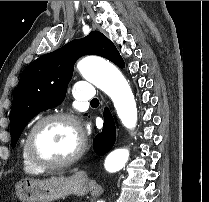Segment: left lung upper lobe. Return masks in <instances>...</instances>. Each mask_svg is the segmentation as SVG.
Segmentation results:
<instances>
[{
	"label": "left lung upper lobe",
	"instance_id": "5c2ea615",
	"mask_svg": "<svg viewBox=\"0 0 209 202\" xmlns=\"http://www.w3.org/2000/svg\"><path fill=\"white\" fill-rule=\"evenodd\" d=\"M104 57L120 68L125 64L115 45L101 32L92 31L30 63L15 89L10 112L11 145L15 147L26 124L38 113L61 104L75 62L84 55Z\"/></svg>",
	"mask_w": 209,
	"mask_h": 202
}]
</instances>
